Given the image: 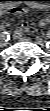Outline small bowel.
I'll list each match as a JSON object with an SVG mask.
<instances>
[{
  "instance_id": "small-bowel-1",
  "label": "small bowel",
  "mask_w": 50,
  "mask_h": 111,
  "mask_svg": "<svg viewBox=\"0 0 50 111\" xmlns=\"http://www.w3.org/2000/svg\"><path fill=\"white\" fill-rule=\"evenodd\" d=\"M1 12L5 13V12H12V13H16V14H26L28 13V9L24 8V7H15V8H11V9H6L3 8L1 9ZM50 19L49 17H45L43 18L40 22L39 25L40 26H46L49 23ZM28 31V26L26 24H23L21 26H19L15 31H14V36L16 38H20L24 33H26Z\"/></svg>"
}]
</instances>
